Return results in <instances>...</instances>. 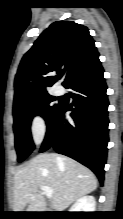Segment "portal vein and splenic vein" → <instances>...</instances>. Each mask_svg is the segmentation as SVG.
<instances>
[{
	"instance_id": "18ae733b",
	"label": "portal vein and splenic vein",
	"mask_w": 123,
	"mask_h": 219,
	"mask_svg": "<svg viewBox=\"0 0 123 219\" xmlns=\"http://www.w3.org/2000/svg\"><path fill=\"white\" fill-rule=\"evenodd\" d=\"M41 190L44 192V194L48 197V198H52L53 196V190L48 187V186H41Z\"/></svg>"
}]
</instances>
